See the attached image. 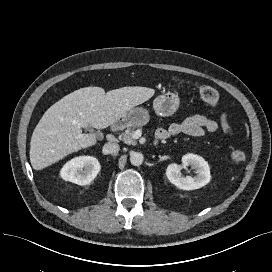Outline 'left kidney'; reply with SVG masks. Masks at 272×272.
Here are the masks:
<instances>
[{"label": "left kidney", "mask_w": 272, "mask_h": 272, "mask_svg": "<svg viewBox=\"0 0 272 272\" xmlns=\"http://www.w3.org/2000/svg\"><path fill=\"white\" fill-rule=\"evenodd\" d=\"M182 163L185 166L190 165L197 174L194 178L191 176L183 177L180 174L178 164H169L166 168L168 180L177 188L182 190L199 189L210 182V168L208 163L199 155L188 153L182 157Z\"/></svg>", "instance_id": "obj_1"}]
</instances>
